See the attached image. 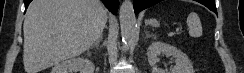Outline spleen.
I'll use <instances>...</instances> for the list:
<instances>
[{"mask_svg": "<svg viewBox=\"0 0 244 73\" xmlns=\"http://www.w3.org/2000/svg\"><path fill=\"white\" fill-rule=\"evenodd\" d=\"M187 25L189 27V35L198 38L202 35V25L199 16L192 12L187 17Z\"/></svg>", "mask_w": 244, "mask_h": 73, "instance_id": "spleen-1", "label": "spleen"}]
</instances>
